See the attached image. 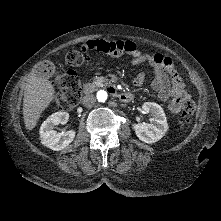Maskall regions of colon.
<instances>
[{"instance_id": "5ec220e1", "label": "colon", "mask_w": 221, "mask_h": 221, "mask_svg": "<svg viewBox=\"0 0 221 221\" xmlns=\"http://www.w3.org/2000/svg\"><path fill=\"white\" fill-rule=\"evenodd\" d=\"M92 59L90 55L83 51L72 50L65 56V64L68 67H78ZM53 83L57 85L61 92L56 96L55 102L61 109H70L75 107L81 100V83L74 70L58 72L53 77ZM195 111V103L192 100H186L183 104L181 128L185 129L191 121Z\"/></svg>"}]
</instances>
